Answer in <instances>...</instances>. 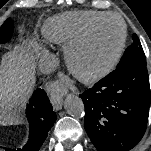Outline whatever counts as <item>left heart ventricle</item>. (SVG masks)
Instances as JSON below:
<instances>
[{
    "mask_svg": "<svg viewBox=\"0 0 151 151\" xmlns=\"http://www.w3.org/2000/svg\"><path fill=\"white\" fill-rule=\"evenodd\" d=\"M121 38V25L115 19L102 22L78 53L77 61L86 71L105 65L115 54Z\"/></svg>",
    "mask_w": 151,
    "mask_h": 151,
    "instance_id": "obj_1",
    "label": "left heart ventricle"
}]
</instances>
